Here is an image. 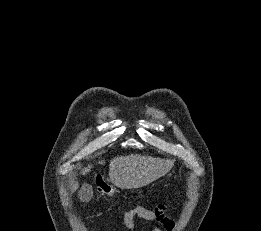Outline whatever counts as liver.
Returning <instances> with one entry per match:
<instances>
[{"label": "liver", "mask_w": 261, "mask_h": 231, "mask_svg": "<svg viewBox=\"0 0 261 231\" xmlns=\"http://www.w3.org/2000/svg\"><path fill=\"white\" fill-rule=\"evenodd\" d=\"M104 164V161H99ZM173 161L154 158L152 156H142L131 154L127 156H117L110 161L109 178L112 184L121 189H132L146 186L158 178L166 175L173 167ZM92 165L84 168L82 174L90 172ZM78 184L71 186L74 192Z\"/></svg>", "instance_id": "obj_1"}]
</instances>
